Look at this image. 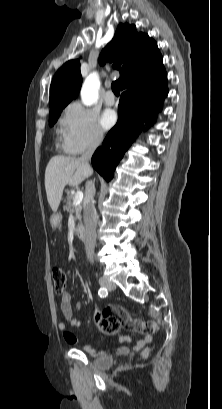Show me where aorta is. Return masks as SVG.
Wrapping results in <instances>:
<instances>
[{
	"mask_svg": "<svg viewBox=\"0 0 222 409\" xmlns=\"http://www.w3.org/2000/svg\"><path fill=\"white\" fill-rule=\"evenodd\" d=\"M100 81L96 73L90 74L84 81L81 89V99L84 105L91 106L98 99Z\"/></svg>",
	"mask_w": 222,
	"mask_h": 409,
	"instance_id": "aorta-1",
	"label": "aorta"
}]
</instances>
